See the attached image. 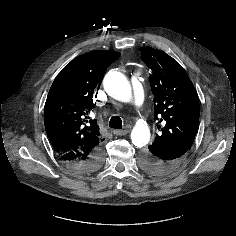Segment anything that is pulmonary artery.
I'll list each match as a JSON object with an SVG mask.
<instances>
[{
    "label": "pulmonary artery",
    "instance_id": "pulmonary-artery-1",
    "mask_svg": "<svg viewBox=\"0 0 236 236\" xmlns=\"http://www.w3.org/2000/svg\"><path fill=\"white\" fill-rule=\"evenodd\" d=\"M133 85V102L137 109L141 108L144 102V94L140 84V76L138 73L134 74L132 79Z\"/></svg>",
    "mask_w": 236,
    "mask_h": 236
}]
</instances>
